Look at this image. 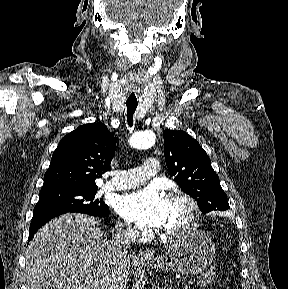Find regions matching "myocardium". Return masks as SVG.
Returning a JSON list of instances; mask_svg holds the SVG:
<instances>
[{"instance_id":"1","label":"myocardium","mask_w":288,"mask_h":289,"mask_svg":"<svg viewBox=\"0 0 288 289\" xmlns=\"http://www.w3.org/2000/svg\"><path fill=\"white\" fill-rule=\"evenodd\" d=\"M168 200L183 202L188 210L187 222L184 226L173 230H164L163 233L170 238H181L195 231L199 219V206L195 198L182 191H174L168 195Z\"/></svg>"}]
</instances>
